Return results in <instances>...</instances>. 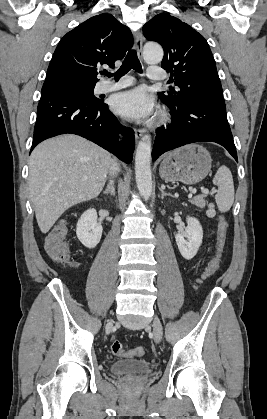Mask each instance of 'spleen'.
Returning a JSON list of instances; mask_svg holds the SVG:
<instances>
[{
    "mask_svg": "<svg viewBox=\"0 0 267 419\" xmlns=\"http://www.w3.org/2000/svg\"><path fill=\"white\" fill-rule=\"evenodd\" d=\"M213 184L218 187L215 202L219 211L223 213L229 211L234 202L233 177L229 168L220 166L213 178Z\"/></svg>",
    "mask_w": 267,
    "mask_h": 419,
    "instance_id": "1",
    "label": "spleen"
}]
</instances>
